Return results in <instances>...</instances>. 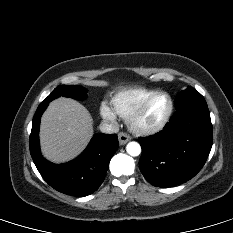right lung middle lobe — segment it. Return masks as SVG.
<instances>
[{
    "instance_id": "dd1d6c3e",
    "label": "right lung middle lobe",
    "mask_w": 233,
    "mask_h": 233,
    "mask_svg": "<svg viewBox=\"0 0 233 233\" xmlns=\"http://www.w3.org/2000/svg\"><path fill=\"white\" fill-rule=\"evenodd\" d=\"M86 92L87 90L85 88L78 85L76 86L62 85L56 87L43 102L49 103L53 99H56L60 96L83 100L86 99L87 97Z\"/></svg>"
}]
</instances>
